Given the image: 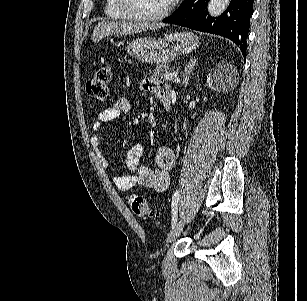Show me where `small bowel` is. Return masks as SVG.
I'll return each instance as SVG.
<instances>
[{
  "label": "small bowel",
  "instance_id": "obj_1",
  "mask_svg": "<svg viewBox=\"0 0 307 301\" xmlns=\"http://www.w3.org/2000/svg\"><path fill=\"white\" fill-rule=\"evenodd\" d=\"M142 88L158 97L170 91L169 87L156 80H145ZM130 111V103L125 98H118L106 107L95 118L92 124L91 143L95 148L97 158L104 168H108L109 160L100 146L101 132L106 124L126 115ZM143 148L141 144L133 145L127 152L126 165L128 175H118L113 178L119 190L126 191L135 185L151 188L156 192H165L170 185L169 171L175 165V154L169 147H162L156 155L157 169H150L141 163Z\"/></svg>",
  "mask_w": 307,
  "mask_h": 301
}]
</instances>
